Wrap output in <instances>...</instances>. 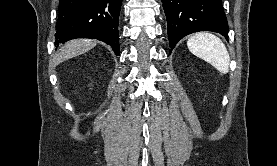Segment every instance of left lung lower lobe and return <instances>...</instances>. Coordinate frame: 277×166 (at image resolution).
Returning a JSON list of instances; mask_svg holds the SVG:
<instances>
[{
	"instance_id": "obj_1",
	"label": "left lung lower lobe",
	"mask_w": 277,
	"mask_h": 166,
	"mask_svg": "<svg viewBox=\"0 0 277 166\" xmlns=\"http://www.w3.org/2000/svg\"><path fill=\"white\" fill-rule=\"evenodd\" d=\"M170 47L184 36L214 31L228 38V22L221 0H162Z\"/></svg>"
}]
</instances>
